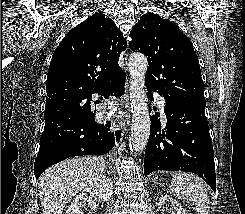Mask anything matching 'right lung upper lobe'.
Here are the masks:
<instances>
[{
	"instance_id": "cb5924a9",
	"label": "right lung upper lobe",
	"mask_w": 245,
	"mask_h": 214,
	"mask_svg": "<svg viewBox=\"0 0 245 214\" xmlns=\"http://www.w3.org/2000/svg\"><path fill=\"white\" fill-rule=\"evenodd\" d=\"M127 46L115 23L96 13L73 28L60 42L52 56L46 83V106L57 96H64L69 109L78 110L89 103L94 93L105 92L123 76L119 56ZM62 106V105H61ZM44 113L45 118L49 116Z\"/></svg>"
}]
</instances>
